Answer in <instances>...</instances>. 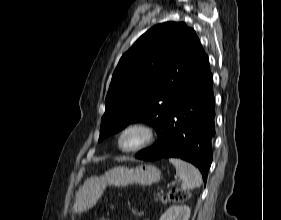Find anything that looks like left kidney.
<instances>
[{
	"mask_svg": "<svg viewBox=\"0 0 281 220\" xmlns=\"http://www.w3.org/2000/svg\"><path fill=\"white\" fill-rule=\"evenodd\" d=\"M191 210L186 205H173L160 217V220H189Z\"/></svg>",
	"mask_w": 281,
	"mask_h": 220,
	"instance_id": "1",
	"label": "left kidney"
}]
</instances>
